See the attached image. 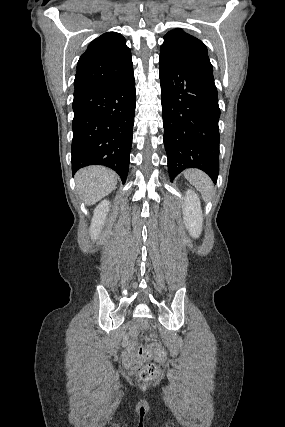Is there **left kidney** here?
Listing matches in <instances>:
<instances>
[{
	"label": "left kidney",
	"instance_id": "obj_1",
	"mask_svg": "<svg viewBox=\"0 0 285 427\" xmlns=\"http://www.w3.org/2000/svg\"><path fill=\"white\" fill-rule=\"evenodd\" d=\"M183 214L185 225L191 236L198 238L202 231L203 215L199 197L192 190L186 192Z\"/></svg>",
	"mask_w": 285,
	"mask_h": 427
}]
</instances>
